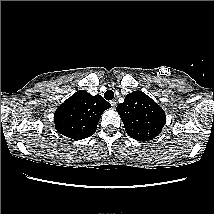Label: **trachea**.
I'll use <instances>...</instances> for the list:
<instances>
[{"mask_svg": "<svg viewBox=\"0 0 214 214\" xmlns=\"http://www.w3.org/2000/svg\"><path fill=\"white\" fill-rule=\"evenodd\" d=\"M104 97L106 100H112L114 98V92L112 90H108L105 92Z\"/></svg>", "mask_w": 214, "mask_h": 214, "instance_id": "1", "label": "trachea"}]
</instances>
